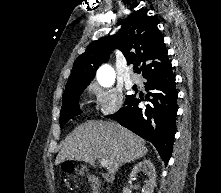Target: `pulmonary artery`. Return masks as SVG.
Wrapping results in <instances>:
<instances>
[{"mask_svg": "<svg viewBox=\"0 0 221 193\" xmlns=\"http://www.w3.org/2000/svg\"><path fill=\"white\" fill-rule=\"evenodd\" d=\"M130 80L133 84L139 85L141 83L140 76L137 74H132Z\"/></svg>", "mask_w": 221, "mask_h": 193, "instance_id": "pulmonary-artery-1", "label": "pulmonary artery"}]
</instances>
